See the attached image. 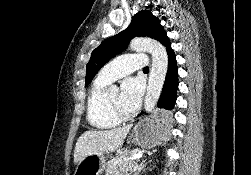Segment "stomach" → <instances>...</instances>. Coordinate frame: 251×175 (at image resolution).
Masks as SVG:
<instances>
[{
    "instance_id": "obj_1",
    "label": "stomach",
    "mask_w": 251,
    "mask_h": 175,
    "mask_svg": "<svg viewBox=\"0 0 251 175\" xmlns=\"http://www.w3.org/2000/svg\"><path fill=\"white\" fill-rule=\"evenodd\" d=\"M169 125L168 113L159 109L157 113L138 121L137 125H134L132 133H129L128 139L141 147H150V145L166 139ZM109 153L110 151H108V155ZM106 165L105 153H86L82 161H79L74 175H101Z\"/></svg>"
}]
</instances>
